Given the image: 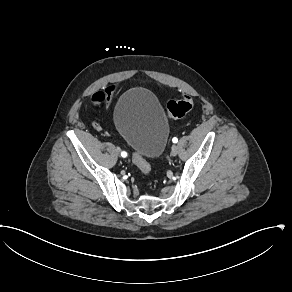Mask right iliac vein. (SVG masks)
Instances as JSON below:
<instances>
[{"label": "right iliac vein", "instance_id": "1", "mask_svg": "<svg viewBox=\"0 0 292 292\" xmlns=\"http://www.w3.org/2000/svg\"><path fill=\"white\" fill-rule=\"evenodd\" d=\"M119 151H120V149L117 147V148H116V152L119 153Z\"/></svg>", "mask_w": 292, "mask_h": 292}]
</instances>
